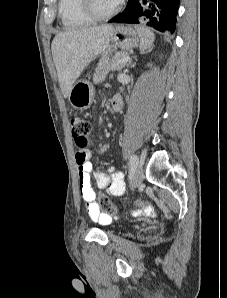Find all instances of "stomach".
<instances>
[{
    "label": "stomach",
    "instance_id": "stomach-1",
    "mask_svg": "<svg viewBox=\"0 0 227 298\" xmlns=\"http://www.w3.org/2000/svg\"><path fill=\"white\" fill-rule=\"evenodd\" d=\"M140 40L139 32L132 27L119 25L113 29L111 43L115 47L129 50L136 47ZM93 98L94 87L86 79L77 81L69 94V101L72 107L81 111L91 106Z\"/></svg>",
    "mask_w": 227,
    "mask_h": 298
}]
</instances>
